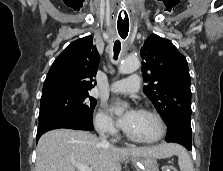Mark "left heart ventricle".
Returning <instances> with one entry per match:
<instances>
[{"mask_svg":"<svg viewBox=\"0 0 223 171\" xmlns=\"http://www.w3.org/2000/svg\"><path fill=\"white\" fill-rule=\"evenodd\" d=\"M126 132L137 139L149 140L158 135L159 127L152 116L137 112Z\"/></svg>","mask_w":223,"mask_h":171,"instance_id":"1","label":"left heart ventricle"}]
</instances>
